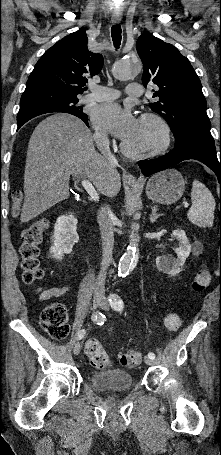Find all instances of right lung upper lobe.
Instances as JSON below:
<instances>
[{
  "label": "right lung upper lobe",
  "instance_id": "cb5924a9",
  "mask_svg": "<svg viewBox=\"0 0 221 455\" xmlns=\"http://www.w3.org/2000/svg\"><path fill=\"white\" fill-rule=\"evenodd\" d=\"M103 56L87 48V35L80 29L48 49L35 65L20 100V108L77 98L86 77L98 74Z\"/></svg>",
  "mask_w": 221,
  "mask_h": 455
}]
</instances>
